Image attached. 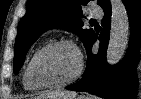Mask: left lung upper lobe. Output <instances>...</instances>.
Returning <instances> with one entry per match:
<instances>
[{"mask_svg":"<svg viewBox=\"0 0 141 99\" xmlns=\"http://www.w3.org/2000/svg\"><path fill=\"white\" fill-rule=\"evenodd\" d=\"M89 0H28L27 11L18 25L15 42L14 73L21 69L30 46L49 28H61L75 32L86 46L92 38V29H82V5ZM104 8L109 0H98Z\"/></svg>","mask_w":141,"mask_h":99,"instance_id":"left-lung-upper-lobe-1","label":"left lung upper lobe"}]
</instances>
